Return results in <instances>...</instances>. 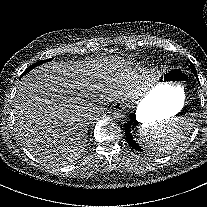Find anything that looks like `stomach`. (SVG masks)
Returning a JSON list of instances; mask_svg holds the SVG:
<instances>
[{
    "label": "stomach",
    "mask_w": 207,
    "mask_h": 207,
    "mask_svg": "<svg viewBox=\"0 0 207 207\" xmlns=\"http://www.w3.org/2000/svg\"><path fill=\"white\" fill-rule=\"evenodd\" d=\"M187 75L181 68L163 71L159 81L137 106L136 119L150 125L174 117L184 106Z\"/></svg>",
    "instance_id": "1"
}]
</instances>
